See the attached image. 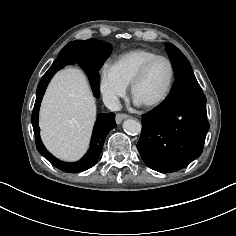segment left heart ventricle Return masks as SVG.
I'll use <instances>...</instances> for the list:
<instances>
[{"instance_id": "b2bd125f", "label": "left heart ventricle", "mask_w": 236, "mask_h": 236, "mask_svg": "<svg viewBox=\"0 0 236 236\" xmlns=\"http://www.w3.org/2000/svg\"><path fill=\"white\" fill-rule=\"evenodd\" d=\"M170 79V67L164 60L156 61L138 85L135 97L139 103H147L160 98Z\"/></svg>"}]
</instances>
